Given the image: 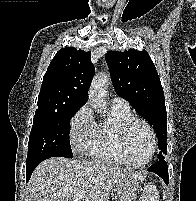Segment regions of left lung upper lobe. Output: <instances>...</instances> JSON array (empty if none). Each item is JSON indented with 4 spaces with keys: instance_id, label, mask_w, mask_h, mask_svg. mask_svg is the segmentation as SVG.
<instances>
[{
    "instance_id": "1",
    "label": "left lung upper lobe",
    "mask_w": 196,
    "mask_h": 201,
    "mask_svg": "<svg viewBox=\"0 0 196 201\" xmlns=\"http://www.w3.org/2000/svg\"><path fill=\"white\" fill-rule=\"evenodd\" d=\"M113 85L117 94L127 100L146 119L158 137L161 159L167 154V113L161 82L149 54L130 49L108 51Z\"/></svg>"
}]
</instances>
